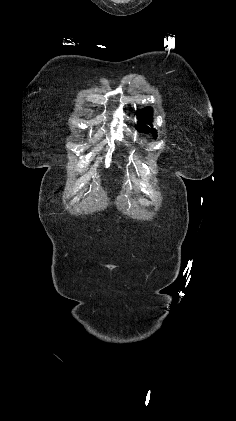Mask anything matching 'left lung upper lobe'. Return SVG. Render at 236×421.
Segmentation results:
<instances>
[{"mask_svg":"<svg viewBox=\"0 0 236 421\" xmlns=\"http://www.w3.org/2000/svg\"><path fill=\"white\" fill-rule=\"evenodd\" d=\"M152 113H153V110L150 107H147V108H144L141 111H138L137 116H138L139 123H138L136 129L139 132H143V133H146V134H148L151 131L154 138H156L157 137V131L153 128H149L148 126H146V124H150L151 121H152Z\"/></svg>","mask_w":236,"mask_h":421,"instance_id":"1","label":"left lung upper lobe"}]
</instances>
